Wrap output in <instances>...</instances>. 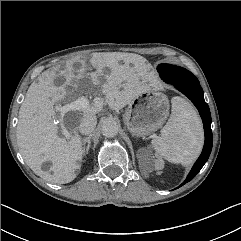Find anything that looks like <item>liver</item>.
Here are the masks:
<instances>
[{
	"mask_svg": "<svg viewBox=\"0 0 241 241\" xmlns=\"http://www.w3.org/2000/svg\"><path fill=\"white\" fill-rule=\"evenodd\" d=\"M122 62V63H120ZM74 62L66 64L63 74L71 79L90 80L93 85L101 86L105 101L112 110H119L128 105L141 93L151 89V65L140 55L132 53L105 52L93 53L90 63L96 71L87 73L85 63L79 70L72 67ZM110 70L104 74V69ZM55 70L45 71L33 82L19 110L17 124V143L26 164L38 175L56 183H69L76 178L80 161L84 155L82 138L76 128L84 114L96 115L102 109V100L95 98L87 108L66 111L65 121H74L72 134L66 138L58 136V126L54 123L55 103L73 94L66 85L56 86ZM75 90L78 84L72 85ZM70 99V98H69ZM50 160L52 174L43 172L41 164Z\"/></svg>",
	"mask_w": 241,
	"mask_h": 241,
	"instance_id": "obj_1",
	"label": "liver"
}]
</instances>
